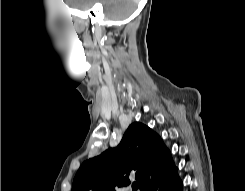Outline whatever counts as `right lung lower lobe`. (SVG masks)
Listing matches in <instances>:
<instances>
[{
    "mask_svg": "<svg viewBox=\"0 0 245 191\" xmlns=\"http://www.w3.org/2000/svg\"><path fill=\"white\" fill-rule=\"evenodd\" d=\"M178 168L173 167L151 185L147 191H183V183L178 176Z\"/></svg>",
    "mask_w": 245,
    "mask_h": 191,
    "instance_id": "98d812e1",
    "label": "right lung lower lobe"
}]
</instances>
